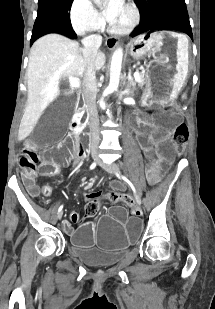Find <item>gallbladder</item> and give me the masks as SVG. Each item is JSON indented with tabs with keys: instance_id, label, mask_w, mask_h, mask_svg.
Returning a JSON list of instances; mask_svg holds the SVG:
<instances>
[{
	"instance_id": "bac80fb5",
	"label": "gallbladder",
	"mask_w": 215,
	"mask_h": 309,
	"mask_svg": "<svg viewBox=\"0 0 215 309\" xmlns=\"http://www.w3.org/2000/svg\"><path fill=\"white\" fill-rule=\"evenodd\" d=\"M48 109L41 115L38 125L32 134L38 148H53L61 136L65 135L66 126L75 112V92H62L53 103H48Z\"/></svg>"
}]
</instances>
